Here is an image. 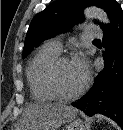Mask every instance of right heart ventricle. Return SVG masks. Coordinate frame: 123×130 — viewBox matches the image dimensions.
I'll use <instances>...</instances> for the list:
<instances>
[{
    "label": "right heart ventricle",
    "instance_id": "1",
    "mask_svg": "<svg viewBox=\"0 0 123 130\" xmlns=\"http://www.w3.org/2000/svg\"><path fill=\"white\" fill-rule=\"evenodd\" d=\"M59 52L47 43L42 45L27 69V80L31 95L38 102H51L57 99L49 84V69Z\"/></svg>",
    "mask_w": 123,
    "mask_h": 130
}]
</instances>
